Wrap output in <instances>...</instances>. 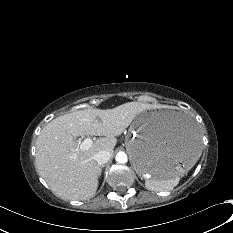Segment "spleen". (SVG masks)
I'll list each match as a JSON object with an SVG mask.
<instances>
[{
    "instance_id": "spleen-1",
    "label": "spleen",
    "mask_w": 233,
    "mask_h": 233,
    "mask_svg": "<svg viewBox=\"0 0 233 233\" xmlns=\"http://www.w3.org/2000/svg\"><path fill=\"white\" fill-rule=\"evenodd\" d=\"M180 180V176L176 175L171 178H165V179H158L153 178L150 180H147L145 185L149 190L152 191H163V190H169L174 188Z\"/></svg>"
}]
</instances>
